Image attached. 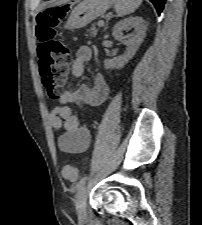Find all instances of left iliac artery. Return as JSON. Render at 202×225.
Segmentation results:
<instances>
[{
    "label": "left iliac artery",
    "mask_w": 202,
    "mask_h": 225,
    "mask_svg": "<svg viewBox=\"0 0 202 225\" xmlns=\"http://www.w3.org/2000/svg\"><path fill=\"white\" fill-rule=\"evenodd\" d=\"M85 182H86V177H82L76 185L77 189L81 190L84 187Z\"/></svg>",
    "instance_id": "1"
}]
</instances>
